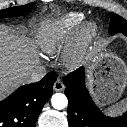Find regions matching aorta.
I'll return each mask as SVG.
<instances>
[{
  "mask_svg": "<svg viewBox=\"0 0 127 127\" xmlns=\"http://www.w3.org/2000/svg\"><path fill=\"white\" fill-rule=\"evenodd\" d=\"M52 106L57 110H62L67 107L68 99L62 93H56L51 98Z\"/></svg>",
  "mask_w": 127,
  "mask_h": 127,
  "instance_id": "762f6f07",
  "label": "aorta"
}]
</instances>
